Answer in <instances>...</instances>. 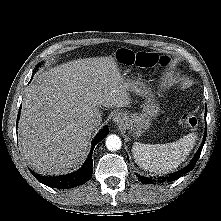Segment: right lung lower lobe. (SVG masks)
I'll return each mask as SVG.
<instances>
[{
	"mask_svg": "<svg viewBox=\"0 0 221 221\" xmlns=\"http://www.w3.org/2000/svg\"><path fill=\"white\" fill-rule=\"evenodd\" d=\"M19 111H20V109H19ZM19 113H18L17 120L19 119ZM108 132H109V130L107 129V127H105L95 137V139L93 140V143H92L91 152H90L86 162L84 163V165L78 171L68 174V175H65V176H56V177H45V176H40L35 173H32V174L39 182H41L49 187H52V188L67 189V188H73V187H76L78 185L85 183L86 181H88L91 178L92 173H93V169H92L93 148L98 142H100L101 140H103L107 136Z\"/></svg>",
	"mask_w": 221,
	"mask_h": 221,
	"instance_id": "98d812e1",
	"label": "right lung lower lobe"
}]
</instances>
